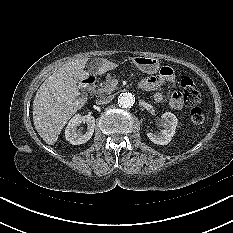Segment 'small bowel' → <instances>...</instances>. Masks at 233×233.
I'll use <instances>...</instances> for the list:
<instances>
[{
	"label": "small bowel",
	"instance_id": "1",
	"mask_svg": "<svg viewBox=\"0 0 233 233\" xmlns=\"http://www.w3.org/2000/svg\"><path fill=\"white\" fill-rule=\"evenodd\" d=\"M143 89L146 91H156L165 84L175 87L176 77L170 67H162L158 75L150 76L141 81ZM154 98L157 102H164L165 97L161 92H156ZM169 104L173 109L180 110L184 105L182 94L174 90L169 98Z\"/></svg>",
	"mask_w": 233,
	"mask_h": 233
}]
</instances>
